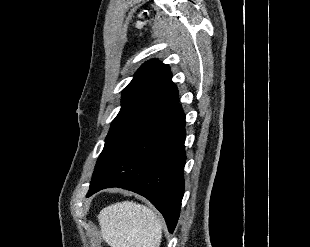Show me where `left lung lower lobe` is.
Returning <instances> with one entry per match:
<instances>
[{
  "mask_svg": "<svg viewBox=\"0 0 310 247\" xmlns=\"http://www.w3.org/2000/svg\"><path fill=\"white\" fill-rule=\"evenodd\" d=\"M185 134V115L177 104L125 148L87 197L109 187L136 192L162 213L172 233L184 194Z\"/></svg>",
  "mask_w": 310,
  "mask_h": 247,
  "instance_id": "1",
  "label": "left lung lower lobe"
}]
</instances>
